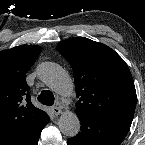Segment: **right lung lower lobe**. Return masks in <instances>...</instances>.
Returning <instances> with one entry per match:
<instances>
[{
    "label": "right lung lower lobe",
    "instance_id": "98d812e1",
    "mask_svg": "<svg viewBox=\"0 0 145 145\" xmlns=\"http://www.w3.org/2000/svg\"><path fill=\"white\" fill-rule=\"evenodd\" d=\"M49 117L34 127L27 128L11 139L5 145H38L42 129L48 124Z\"/></svg>",
    "mask_w": 145,
    "mask_h": 145
}]
</instances>
